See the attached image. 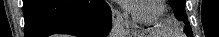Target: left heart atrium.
<instances>
[{"label":"left heart atrium","instance_id":"obj_1","mask_svg":"<svg viewBox=\"0 0 219 37\" xmlns=\"http://www.w3.org/2000/svg\"><path fill=\"white\" fill-rule=\"evenodd\" d=\"M128 9L130 8V7H133L134 5H135V3H136V1L135 0H123V1H121Z\"/></svg>","mask_w":219,"mask_h":37}]
</instances>
